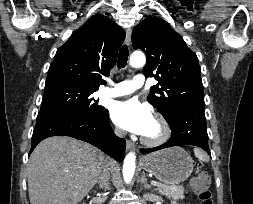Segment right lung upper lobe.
I'll return each mask as SVG.
<instances>
[{
	"label": "right lung upper lobe",
	"mask_w": 253,
	"mask_h": 204,
	"mask_svg": "<svg viewBox=\"0 0 253 204\" xmlns=\"http://www.w3.org/2000/svg\"><path fill=\"white\" fill-rule=\"evenodd\" d=\"M124 39L125 31L114 21L93 15L57 50L46 84L73 83L98 90Z\"/></svg>",
	"instance_id": "right-lung-upper-lobe-1"
}]
</instances>
